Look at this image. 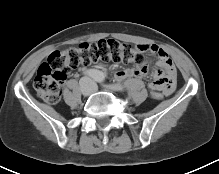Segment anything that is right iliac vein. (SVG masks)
I'll use <instances>...</instances> for the list:
<instances>
[{"label": "right iliac vein", "mask_w": 219, "mask_h": 174, "mask_svg": "<svg viewBox=\"0 0 219 174\" xmlns=\"http://www.w3.org/2000/svg\"><path fill=\"white\" fill-rule=\"evenodd\" d=\"M81 92L84 96H88L90 94V91L84 87L82 88Z\"/></svg>", "instance_id": "1"}]
</instances>
